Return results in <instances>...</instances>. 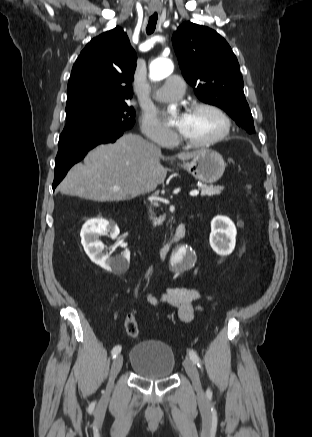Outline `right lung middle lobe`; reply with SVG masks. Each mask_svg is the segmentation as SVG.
Returning <instances> with one entry per match:
<instances>
[{"mask_svg":"<svg viewBox=\"0 0 312 437\" xmlns=\"http://www.w3.org/2000/svg\"><path fill=\"white\" fill-rule=\"evenodd\" d=\"M67 123L58 148H70L84 141L129 130L135 111L126 102H81L66 107Z\"/></svg>","mask_w":312,"mask_h":437,"instance_id":"right-lung-middle-lobe-1","label":"right lung middle lobe"}]
</instances>
